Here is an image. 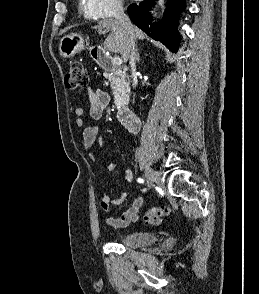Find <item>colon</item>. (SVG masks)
I'll return each instance as SVG.
<instances>
[{"mask_svg": "<svg viewBox=\"0 0 259 294\" xmlns=\"http://www.w3.org/2000/svg\"><path fill=\"white\" fill-rule=\"evenodd\" d=\"M88 76L84 66L79 61H74L69 66V71L65 75V85L67 88L75 89L82 88L87 85ZM172 212L167 206H158L150 208L145 216L144 221L150 225H160L162 219Z\"/></svg>", "mask_w": 259, "mask_h": 294, "instance_id": "obj_1", "label": "colon"}]
</instances>
